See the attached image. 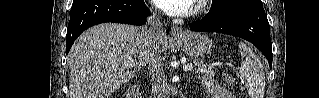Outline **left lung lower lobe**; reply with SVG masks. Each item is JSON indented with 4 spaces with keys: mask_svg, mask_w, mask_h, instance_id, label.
<instances>
[{
    "mask_svg": "<svg viewBox=\"0 0 319 98\" xmlns=\"http://www.w3.org/2000/svg\"><path fill=\"white\" fill-rule=\"evenodd\" d=\"M192 31L218 32L241 37L253 43L268 59L272 66V47L269 23L261 0L238 4L224 16L191 23Z\"/></svg>",
    "mask_w": 319,
    "mask_h": 98,
    "instance_id": "obj_1",
    "label": "left lung lower lobe"
}]
</instances>
